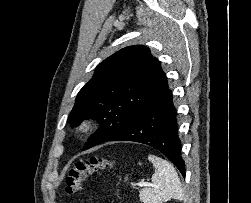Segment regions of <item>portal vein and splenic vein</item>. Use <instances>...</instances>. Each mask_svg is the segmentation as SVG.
Here are the masks:
<instances>
[{"mask_svg":"<svg viewBox=\"0 0 251 203\" xmlns=\"http://www.w3.org/2000/svg\"><path fill=\"white\" fill-rule=\"evenodd\" d=\"M137 186H139V187H151V186H153L151 183H149V182H139V183H137L136 184Z\"/></svg>","mask_w":251,"mask_h":203,"instance_id":"obj_1","label":"portal vein and splenic vein"}]
</instances>
